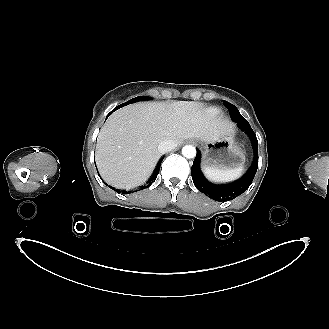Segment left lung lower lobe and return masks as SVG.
I'll return each instance as SVG.
<instances>
[{
  "label": "left lung lower lobe",
  "mask_w": 329,
  "mask_h": 329,
  "mask_svg": "<svg viewBox=\"0 0 329 329\" xmlns=\"http://www.w3.org/2000/svg\"><path fill=\"white\" fill-rule=\"evenodd\" d=\"M238 125L247 135L253 150V163L239 180L229 184H214L208 181L200 170V152L198 150L191 168V175L196 188L209 198L217 201L234 199L244 193L252 183L258 168V141L256 135L247 120L238 123Z\"/></svg>",
  "instance_id": "0a47b994"
}]
</instances>
